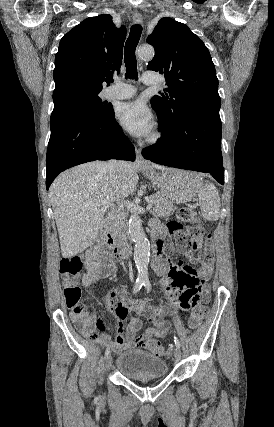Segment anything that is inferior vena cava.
Listing matches in <instances>:
<instances>
[{
  "label": "inferior vena cava",
  "instance_id": "inferior-vena-cava-1",
  "mask_svg": "<svg viewBox=\"0 0 274 427\" xmlns=\"http://www.w3.org/2000/svg\"><path fill=\"white\" fill-rule=\"evenodd\" d=\"M108 168L109 170H113V172H120L122 166H120L119 162H116V160H110V162H108Z\"/></svg>",
  "mask_w": 274,
  "mask_h": 427
}]
</instances>
